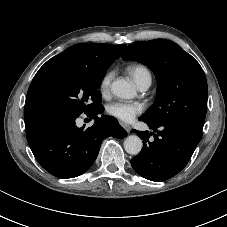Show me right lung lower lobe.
<instances>
[{
    "label": "right lung lower lobe",
    "instance_id": "98d812e1",
    "mask_svg": "<svg viewBox=\"0 0 227 227\" xmlns=\"http://www.w3.org/2000/svg\"><path fill=\"white\" fill-rule=\"evenodd\" d=\"M102 105L84 114L95 119L91 127L76 126L80 115L48 117L27 131V141L38 163L59 178H73L84 173L96 160L103 139L124 138L127 133L112 116H97Z\"/></svg>",
    "mask_w": 227,
    "mask_h": 227
}]
</instances>
